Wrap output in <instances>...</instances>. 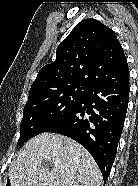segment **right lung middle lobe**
Instances as JSON below:
<instances>
[{
    "label": "right lung middle lobe",
    "mask_w": 138,
    "mask_h": 186,
    "mask_svg": "<svg viewBox=\"0 0 138 186\" xmlns=\"http://www.w3.org/2000/svg\"><path fill=\"white\" fill-rule=\"evenodd\" d=\"M87 88L69 85L29 94L20 126L22 144L62 120L83 100Z\"/></svg>",
    "instance_id": "right-lung-middle-lobe-1"
}]
</instances>
